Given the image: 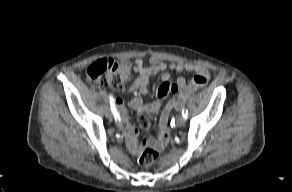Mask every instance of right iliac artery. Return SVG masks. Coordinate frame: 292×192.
<instances>
[{
  "mask_svg": "<svg viewBox=\"0 0 292 192\" xmlns=\"http://www.w3.org/2000/svg\"><path fill=\"white\" fill-rule=\"evenodd\" d=\"M109 100H110V108H111L112 114L114 115V118L116 120H120V114L117 111V108L115 106V99H114V97L112 95H110Z\"/></svg>",
  "mask_w": 292,
  "mask_h": 192,
  "instance_id": "obj_1",
  "label": "right iliac artery"
}]
</instances>
